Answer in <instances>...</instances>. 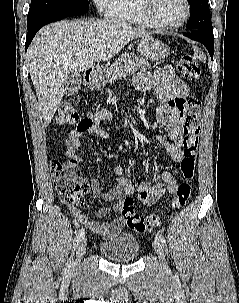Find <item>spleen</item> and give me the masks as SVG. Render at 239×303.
<instances>
[{"instance_id":"obj_1","label":"spleen","mask_w":239,"mask_h":303,"mask_svg":"<svg viewBox=\"0 0 239 303\" xmlns=\"http://www.w3.org/2000/svg\"><path fill=\"white\" fill-rule=\"evenodd\" d=\"M194 53L200 61L206 62V56L198 47H194Z\"/></svg>"}]
</instances>
